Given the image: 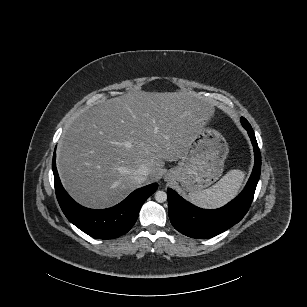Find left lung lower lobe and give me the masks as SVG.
Returning a JSON list of instances; mask_svg holds the SVG:
<instances>
[{"instance_id":"obj_1","label":"left lung lower lobe","mask_w":307,"mask_h":307,"mask_svg":"<svg viewBox=\"0 0 307 307\" xmlns=\"http://www.w3.org/2000/svg\"><path fill=\"white\" fill-rule=\"evenodd\" d=\"M254 147L255 164L243 191L224 207L214 210L198 208L172 189L167 190L169 218L182 234L198 239L214 237L238 223L247 213L260 177L261 154L251 125L242 124Z\"/></svg>"}]
</instances>
